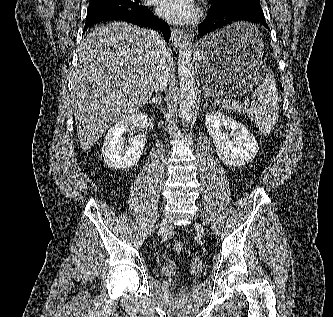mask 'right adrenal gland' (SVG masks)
Returning a JSON list of instances; mask_svg holds the SVG:
<instances>
[{
    "label": "right adrenal gland",
    "instance_id": "right-adrenal-gland-1",
    "mask_svg": "<svg viewBox=\"0 0 333 317\" xmlns=\"http://www.w3.org/2000/svg\"><path fill=\"white\" fill-rule=\"evenodd\" d=\"M148 103H154L155 105L160 106L162 103V98H161L160 93L156 97H153L152 99H150L148 101Z\"/></svg>",
    "mask_w": 333,
    "mask_h": 317
}]
</instances>
